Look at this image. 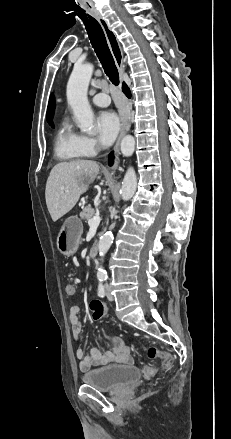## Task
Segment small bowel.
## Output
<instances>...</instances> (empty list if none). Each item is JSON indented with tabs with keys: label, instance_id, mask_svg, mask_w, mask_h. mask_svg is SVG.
Returning a JSON list of instances; mask_svg holds the SVG:
<instances>
[{
	"label": "small bowel",
	"instance_id": "c3829d8e",
	"mask_svg": "<svg viewBox=\"0 0 231 439\" xmlns=\"http://www.w3.org/2000/svg\"><path fill=\"white\" fill-rule=\"evenodd\" d=\"M69 322L73 337L78 341L82 332V310L79 306L74 305L70 308ZM110 344V348H92L88 352L78 347L75 356L79 360V369L84 372L92 367L105 366L111 363L130 364L132 362L130 348L122 338L112 336Z\"/></svg>",
	"mask_w": 231,
	"mask_h": 439
}]
</instances>
